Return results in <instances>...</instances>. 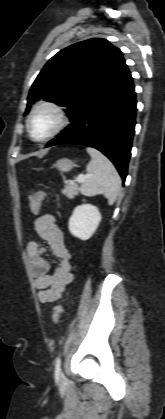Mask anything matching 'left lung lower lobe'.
Instances as JSON below:
<instances>
[{
  "instance_id": "obj_1",
  "label": "left lung lower lobe",
  "mask_w": 165,
  "mask_h": 419,
  "mask_svg": "<svg viewBox=\"0 0 165 419\" xmlns=\"http://www.w3.org/2000/svg\"><path fill=\"white\" fill-rule=\"evenodd\" d=\"M136 111L134 84L126 67L98 94L88 98L71 118L72 123L46 147L72 143L98 149L113 162L124 182Z\"/></svg>"
}]
</instances>
